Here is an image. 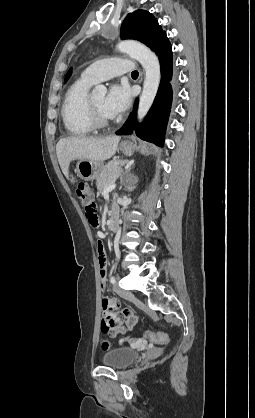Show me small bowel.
I'll return each mask as SVG.
<instances>
[{
  "label": "small bowel",
  "instance_id": "small-bowel-1",
  "mask_svg": "<svg viewBox=\"0 0 255 418\" xmlns=\"http://www.w3.org/2000/svg\"><path fill=\"white\" fill-rule=\"evenodd\" d=\"M95 254L99 258L100 264V283L102 289L105 288L107 280V262H106V246L105 240H98ZM102 307L104 311L101 329L103 333L116 335L122 331V322L126 320V328L130 329L137 321V316L129 309L119 310V302L113 298H103Z\"/></svg>",
  "mask_w": 255,
  "mask_h": 418
}]
</instances>
